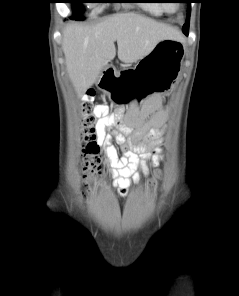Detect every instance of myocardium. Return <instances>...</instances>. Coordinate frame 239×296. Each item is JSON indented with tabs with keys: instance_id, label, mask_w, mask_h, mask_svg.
I'll list each match as a JSON object with an SVG mask.
<instances>
[{
	"instance_id": "f54148a6",
	"label": "myocardium",
	"mask_w": 239,
	"mask_h": 296,
	"mask_svg": "<svg viewBox=\"0 0 239 296\" xmlns=\"http://www.w3.org/2000/svg\"><path fill=\"white\" fill-rule=\"evenodd\" d=\"M164 10L169 11V12H173L177 9L178 4H168V3H163L162 4Z\"/></svg>"
}]
</instances>
